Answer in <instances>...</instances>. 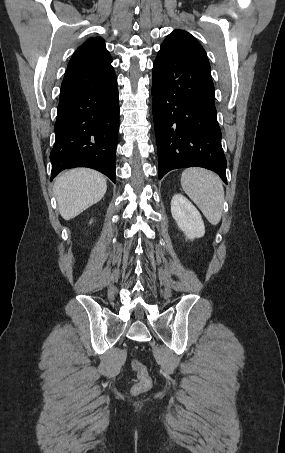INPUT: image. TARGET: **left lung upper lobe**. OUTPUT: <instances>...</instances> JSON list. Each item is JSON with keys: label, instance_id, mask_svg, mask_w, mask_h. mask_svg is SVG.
Here are the masks:
<instances>
[{"label": "left lung upper lobe", "instance_id": "left-lung-upper-lobe-1", "mask_svg": "<svg viewBox=\"0 0 285 453\" xmlns=\"http://www.w3.org/2000/svg\"><path fill=\"white\" fill-rule=\"evenodd\" d=\"M161 48L180 53L210 69V64L205 50L199 44V42L186 31H173L164 40Z\"/></svg>", "mask_w": 285, "mask_h": 453}]
</instances>
